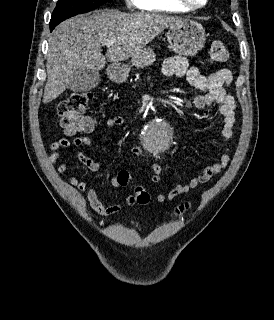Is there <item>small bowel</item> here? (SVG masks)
Here are the masks:
<instances>
[{"label": "small bowel", "instance_id": "c3829d8e", "mask_svg": "<svg viewBox=\"0 0 274 320\" xmlns=\"http://www.w3.org/2000/svg\"><path fill=\"white\" fill-rule=\"evenodd\" d=\"M163 73L167 76H185L188 83L197 89L207 91L204 95H197L194 97V105L197 109H205L212 104L219 106V112L223 119V127L221 131L222 143L229 142L235 133L237 125L236 100L228 93L227 88L233 82V74L229 69H220L211 74L205 75L199 71L198 68L190 66L186 58L182 56L168 57L163 64ZM125 123V120L121 116H115L108 118L105 121V126L109 129L120 127ZM81 126H87L83 128L84 132L101 131L102 121L101 119H81L79 121ZM94 140L88 136L76 137L73 139H59L50 145L51 154L49 160L51 163L57 162L61 158V149L70 146H92ZM130 152L134 155L148 159L147 154L139 147H131ZM78 160L90 171H98L101 168V164L88 157L82 151L77 154ZM229 162V153H219L216 162L206 167L201 173L194 176L188 183L178 184L174 186L167 193H160L156 199L159 203H169L176 197L188 193L192 189L196 188L200 184L209 181L214 175L224 170ZM152 169L151 181L158 183L161 180L162 168L161 166L151 161ZM68 166L62 163L58 166L57 172L63 174L67 171ZM119 173H128L126 170H122ZM118 173V174H119ZM118 176V175H117ZM116 177L110 178L109 182L114 187H120L118 179ZM69 183L75 187L80 193L84 194L92 210L100 216H110L120 212L124 206H131L135 204V200L132 195L125 198L124 204L111 202L105 205L99 197L97 190L93 187H89L86 182L80 180L76 176H71Z\"/></svg>", "mask_w": 274, "mask_h": 320}]
</instances>
